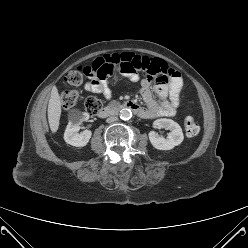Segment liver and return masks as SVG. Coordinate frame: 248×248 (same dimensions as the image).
I'll return each instance as SVG.
<instances>
[{
	"mask_svg": "<svg viewBox=\"0 0 248 248\" xmlns=\"http://www.w3.org/2000/svg\"><path fill=\"white\" fill-rule=\"evenodd\" d=\"M61 116V100L56 87L52 89L48 104V122L52 133L57 132Z\"/></svg>",
	"mask_w": 248,
	"mask_h": 248,
	"instance_id": "1",
	"label": "liver"
}]
</instances>
